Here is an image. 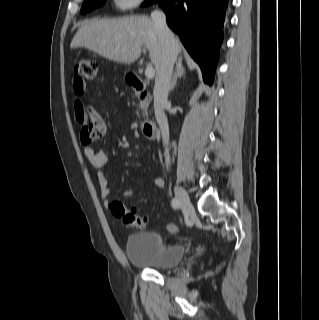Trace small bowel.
Returning <instances> with one entry per match:
<instances>
[{"instance_id": "c3829d8e", "label": "small bowel", "mask_w": 319, "mask_h": 320, "mask_svg": "<svg viewBox=\"0 0 319 320\" xmlns=\"http://www.w3.org/2000/svg\"><path fill=\"white\" fill-rule=\"evenodd\" d=\"M73 87L75 92L79 95L83 94L86 88L84 84L79 85L75 80L73 81ZM75 107L76 114L82 113L84 117L88 119L95 140L103 137L106 132V124L102 116L93 107L80 99L76 101ZM84 155L90 165L99 171L96 177L99 186V195L105 200V204L108 205L107 199L110 195L109 182L107 177L100 171L107 162V154L103 151L96 150L92 146H87L84 148ZM152 185L156 188H162L164 186V181L161 177H155L152 180ZM132 195V190L124 192L125 197H131Z\"/></svg>"}]
</instances>
